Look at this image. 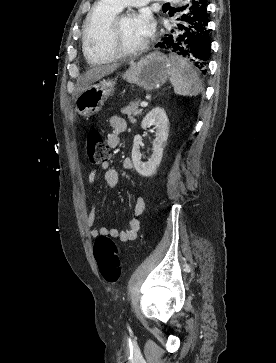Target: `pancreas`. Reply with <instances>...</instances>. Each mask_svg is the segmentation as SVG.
Here are the masks:
<instances>
[{"label":"pancreas","instance_id":"pancreas-1","mask_svg":"<svg viewBox=\"0 0 276 363\" xmlns=\"http://www.w3.org/2000/svg\"><path fill=\"white\" fill-rule=\"evenodd\" d=\"M139 103L140 101L131 102L128 106L121 109V113L128 115V119L131 123H135V117L142 113V109L139 108Z\"/></svg>","mask_w":276,"mask_h":363}]
</instances>
